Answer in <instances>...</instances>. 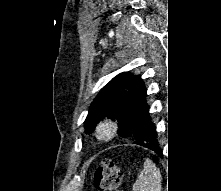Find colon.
Instances as JSON below:
<instances>
[{
  "instance_id": "obj_1",
  "label": "colon",
  "mask_w": 221,
  "mask_h": 191,
  "mask_svg": "<svg viewBox=\"0 0 221 191\" xmlns=\"http://www.w3.org/2000/svg\"><path fill=\"white\" fill-rule=\"evenodd\" d=\"M121 169L111 160H105L95 173L98 191H117L121 182Z\"/></svg>"
}]
</instances>
